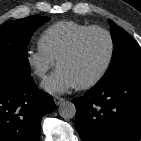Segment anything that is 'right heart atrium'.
I'll return each mask as SVG.
<instances>
[{
	"mask_svg": "<svg viewBox=\"0 0 141 141\" xmlns=\"http://www.w3.org/2000/svg\"><path fill=\"white\" fill-rule=\"evenodd\" d=\"M25 60L30 72L37 78L45 77L55 64V60L40 45L28 48Z\"/></svg>",
	"mask_w": 141,
	"mask_h": 141,
	"instance_id": "obj_1",
	"label": "right heart atrium"
}]
</instances>
